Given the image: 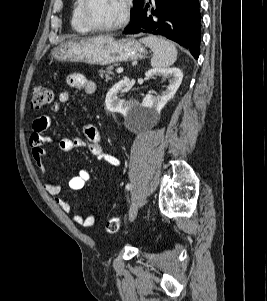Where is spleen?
<instances>
[{"instance_id":"spleen-1","label":"spleen","mask_w":267,"mask_h":301,"mask_svg":"<svg viewBox=\"0 0 267 301\" xmlns=\"http://www.w3.org/2000/svg\"><path fill=\"white\" fill-rule=\"evenodd\" d=\"M141 42L153 52L151 58V66L153 68H165L175 63L177 49L172 42L155 36L144 37L141 39Z\"/></svg>"}]
</instances>
